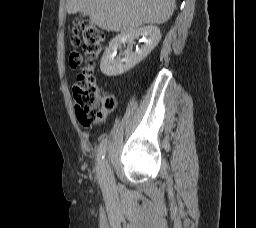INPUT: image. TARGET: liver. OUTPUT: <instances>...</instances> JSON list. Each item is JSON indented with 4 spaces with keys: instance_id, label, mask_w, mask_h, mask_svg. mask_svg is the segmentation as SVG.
Returning a JSON list of instances; mask_svg holds the SVG:
<instances>
[{
    "instance_id": "6515ba94",
    "label": "liver",
    "mask_w": 256,
    "mask_h": 228,
    "mask_svg": "<svg viewBox=\"0 0 256 228\" xmlns=\"http://www.w3.org/2000/svg\"><path fill=\"white\" fill-rule=\"evenodd\" d=\"M175 6V0H67L66 9L68 14L88 16L103 30L124 32L167 22Z\"/></svg>"
}]
</instances>
